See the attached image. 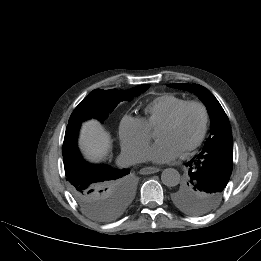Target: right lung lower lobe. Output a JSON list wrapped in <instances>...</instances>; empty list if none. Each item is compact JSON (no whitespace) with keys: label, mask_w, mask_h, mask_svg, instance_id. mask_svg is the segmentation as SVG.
<instances>
[{"label":"right lung lower lobe","mask_w":261,"mask_h":261,"mask_svg":"<svg viewBox=\"0 0 261 261\" xmlns=\"http://www.w3.org/2000/svg\"><path fill=\"white\" fill-rule=\"evenodd\" d=\"M81 122L69 123L63 142V161L66 177H78L83 184H93L105 180L109 177H115L129 173V170L113 169L106 165H89L81 157L77 148V136Z\"/></svg>","instance_id":"98d812e1"}]
</instances>
